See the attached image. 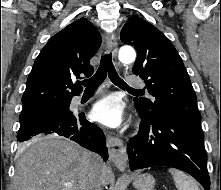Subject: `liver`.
Masks as SVG:
<instances>
[{"label": "liver", "instance_id": "liver-1", "mask_svg": "<svg viewBox=\"0 0 221 190\" xmlns=\"http://www.w3.org/2000/svg\"><path fill=\"white\" fill-rule=\"evenodd\" d=\"M18 153L14 190H86L94 154L75 142L39 136L24 144ZM101 175L102 184L108 185L111 169L105 164Z\"/></svg>", "mask_w": 221, "mask_h": 190}]
</instances>
